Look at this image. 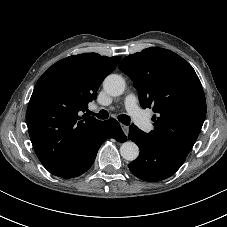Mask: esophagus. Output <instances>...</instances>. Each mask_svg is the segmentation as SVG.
Returning a JSON list of instances; mask_svg holds the SVG:
<instances>
[{
	"instance_id": "34e87169",
	"label": "esophagus",
	"mask_w": 227,
	"mask_h": 227,
	"mask_svg": "<svg viewBox=\"0 0 227 227\" xmlns=\"http://www.w3.org/2000/svg\"><path fill=\"white\" fill-rule=\"evenodd\" d=\"M121 127H122V129H123V131H124L125 135H126V136H128V133H129V127H128V126H126V125H123V124H121Z\"/></svg>"
}]
</instances>
